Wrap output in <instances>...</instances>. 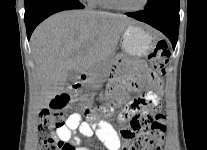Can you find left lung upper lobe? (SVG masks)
Wrapping results in <instances>:
<instances>
[{
  "instance_id": "obj_1",
  "label": "left lung upper lobe",
  "mask_w": 207,
  "mask_h": 150,
  "mask_svg": "<svg viewBox=\"0 0 207 150\" xmlns=\"http://www.w3.org/2000/svg\"><path fill=\"white\" fill-rule=\"evenodd\" d=\"M163 0H148L147 5L145 6V8H151L155 5H157L158 3L162 2Z\"/></svg>"
}]
</instances>
